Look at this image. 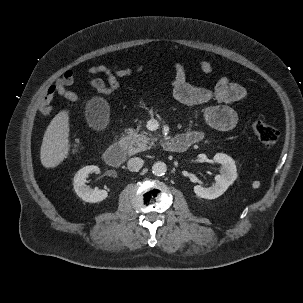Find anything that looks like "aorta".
Wrapping results in <instances>:
<instances>
[{"label": "aorta", "instance_id": "762f6f07", "mask_svg": "<svg viewBox=\"0 0 303 303\" xmlns=\"http://www.w3.org/2000/svg\"><path fill=\"white\" fill-rule=\"evenodd\" d=\"M167 171V166L164 162H155L152 166V172L155 176H163Z\"/></svg>", "mask_w": 303, "mask_h": 303}]
</instances>
